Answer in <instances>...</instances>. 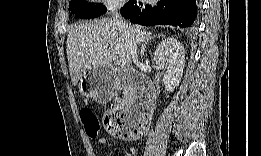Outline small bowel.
I'll return each instance as SVG.
<instances>
[{"instance_id":"1","label":"small bowel","mask_w":261,"mask_h":156,"mask_svg":"<svg viewBox=\"0 0 261 156\" xmlns=\"http://www.w3.org/2000/svg\"><path fill=\"white\" fill-rule=\"evenodd\" d=\"M98 144L104 146L107 144V139L105 137H101L98 139Z\"/></svg>"}]
</instances>
